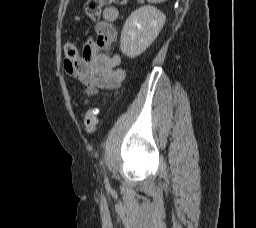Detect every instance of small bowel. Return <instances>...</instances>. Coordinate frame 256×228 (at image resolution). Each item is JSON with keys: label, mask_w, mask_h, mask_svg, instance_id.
Returning <instances> with one entry per match:
<instances>
[{"label": "small bowel", "mask_w": 256, "mask_h": 228, "mask_svg": "<svg viewBox=\"0 0 256 228\" xmlns=\"http://www.w3.org/2000/svg\"><path fill=\"white\" fill-rule=\"evenodd\" d=\"M118 14L115 7L105 8L102 20L95 26L96 38H87L83 53L76 60H65L67 73L85 86L84 94L88 98L97 95L101 90L118 88L126 77L125 70L120 67L121 57L108 53L115 41L114 22Z\"/></svg>", "instance_id": "obj_1"}]
</instances>
